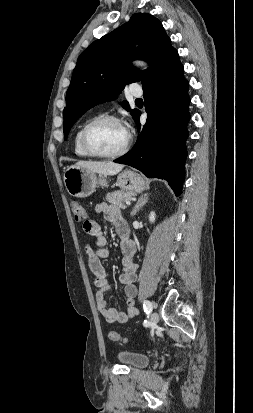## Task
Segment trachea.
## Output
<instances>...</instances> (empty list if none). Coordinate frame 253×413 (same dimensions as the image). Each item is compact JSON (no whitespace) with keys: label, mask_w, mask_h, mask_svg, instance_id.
I'll return each mask as SVG.
<instances>
[{"label":"trachea","mask_w":253,"mask_h":413,"mask_svg":"<svg viewBox=\"0 0 253 413\" xmlns=\"http://www.w3.org/2000/svg\"><path fill=\"white\" fill-rule=\"evenodd\" d=\"M135 102H143V100L138 98V99L135 100Z\"/></svg>","instance_id":"trachea-1"}]
</instances>
